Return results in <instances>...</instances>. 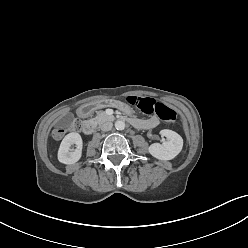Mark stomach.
I'll list each match as a JSON object with an SVG mask.
<instances>
[{"label": "stomach", "instance_id": "1", "mask_svg": "<svg viewBox=\"0 0 248 248\" xmlns=\"http://www.w3.org/2000/svg\"><path fill=\"white\" fill-rule=\"evenodd\" d=\"M107 106H116L117 108L120 109L121 112L125 113L130 119L134 118L133 111L131 109H128L127 106L122 105L119 101L105 100V101L95 102L90 106V109L94 110L96 108L107 107Z\"/></svg>", "mask_w": 248, "mask_h": 248}]
</instances>
